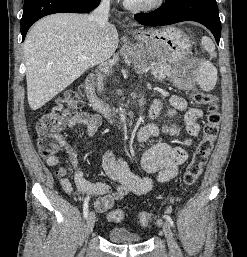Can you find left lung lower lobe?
<instances>
[{
	"instance_id": "left-lung-lower-lobe-1",
	"label": "left lung lower lobe",
	"mask_w": 247,
	"mask_h": 257,
	"mask_svg": "<svg viewBox=\"0 0 247 257\" xmlns=\"http://www.w3.org/2000/svg\"><path fill=\"white\" fill-rule=\"evenodd\" d=\"M134 18L146 26H162L182 21H196L206 26L217 44L221 37V22L215 0H166L165 5Z\"/></svg>"
}]
</instances>
